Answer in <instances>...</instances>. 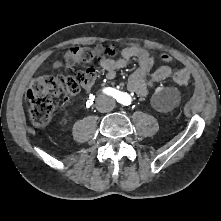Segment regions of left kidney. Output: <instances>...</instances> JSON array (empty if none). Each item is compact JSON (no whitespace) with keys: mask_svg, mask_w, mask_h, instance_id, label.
Segmentation results:
<instances>
[{"mask_svg":"<svg viewBox=\"0 0 221 221\" xmlns=\"http://www.w3.org/2000/svg\"><path fill=\"white\" fill-rule=\"evenodd\" d=\"M179 101V92L176 88H157L154 93L155 106L160 111L173 109Z\"/></svg>","mask_w":221,"mask_h":221,"instance_id":"left-kidney-1","label":"left kidney"}]
</instances>
